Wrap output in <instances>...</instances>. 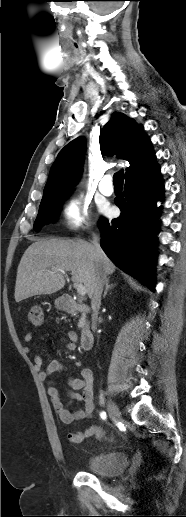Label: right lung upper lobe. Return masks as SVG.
<instances>
[{"instance_id": "1", "label": "right lung upper lobe", "mask_w": 186, "mask_h": 517, "mask_svg": "<svg viewBox=\"0 0 186 517\" xmlns=\"http://www.w3.org/2000/svg\"><path fill=\"white\" fill-rule=\"evenodd\" d=\"M100 147L106 155L130 162L125 178L155 162V153L143 128L123 113L116 112L101 130ZM85 140L78 137L67 144L53 163L42 199L70 193L82 172Z\"/></svg>"}]
</instances>
